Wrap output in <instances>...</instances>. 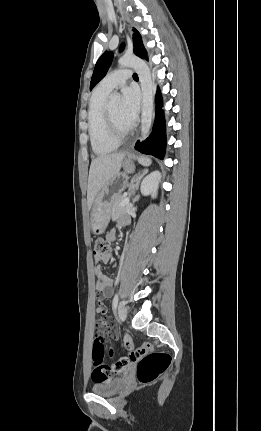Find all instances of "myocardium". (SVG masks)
Segmentation results:
<instances>
[{
  "instance_id": "f54148a6",
  "label": "myocardium",
  "mask_w": 261,
  "mask_h": 431,
  "mask_svg": "<svg viewBox=\"0 0 261 431\" xmlns=\"http://www.w3.org/2000/svg\"><path fill=\"white\" fill-rule=\"evenodd\" d=\"M104 119H105L108 135L112 141H114L117 144H121L128 138V136L131 133V129L129 128L126 131H120L114 124L108 108H105L104 110Z\"/></svg>"
}]
</instances>
